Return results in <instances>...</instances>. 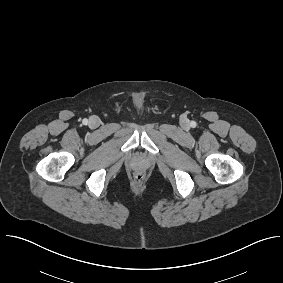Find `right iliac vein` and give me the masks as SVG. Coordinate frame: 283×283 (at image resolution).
Returning a JSON list of instances; mask_svg holds the SVG:
<instances>
[{"instance_id":"obj_1","label":"right iliac vein","mask_w":283,"mask_h":283,"mask_svg":"<svg viewBox=\"0 0 283 283\" xmlns=\"http://www.w3.org/2000/svg\"><path fill=\"white\" fill-rule=\"evenodd\" d=\"M100 124V120L98 117L96 116H92L90 119H89V122H88V125L89 127L91 128H97Z\"/></svg>"}]
</instances>
